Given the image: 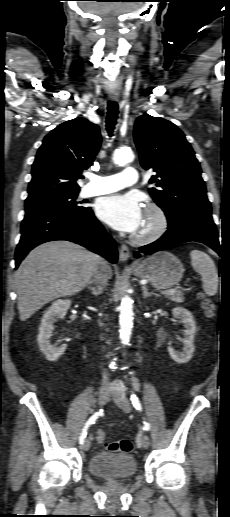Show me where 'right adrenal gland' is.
I'll return each instance as SVG.
<instances>
[{
  "instance_id": "right-adrenal-gland-1",
  "label": "right adrenal gland",
  "mask_w": 230,
  "mask_h": 517,
  "mask_svg": "<svg viewBox=\"0 0 230 517\" xmlns=\"http://www.w3.org/2000/svg\"><path fill=\"white\" fill-rule=\"evenodd\" d=\"M87 289H89L94 296H98L102 293V287L97 284L96 287L90 286V284L87 286Z\"/></svg>"
}]
</instances>
